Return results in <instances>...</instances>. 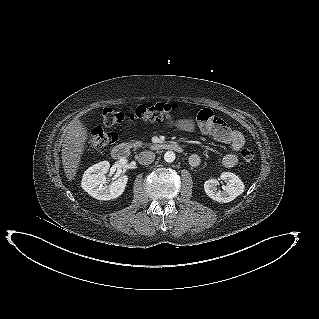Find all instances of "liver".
Wrapping results in <instances>:
<instances>
[{"label": "liver", "mask_w": 319, "mask_h": 319, "mask_svg": "<svg viewBox=\"0 0 319 319\" xmlns=\"http://www.w3.org/2000/svg\"><path fill=\"white\" fill-rule=\"evenodd\" d=\"M87 137V128L80 120H72L62 134V164L70 181L76 176Z\"/></svg>", "instance_id": "6515ba94"}]
</instances>
